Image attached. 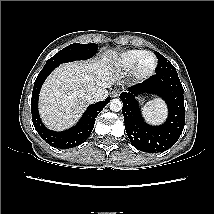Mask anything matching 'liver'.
Here are the masks:
<instances>
[{
	"label": "liver",
	"mask_w": 214,
	"mask_h": 214,
	"mask_svg": "<svg viewBox=\"0 0 214 214\" xmlns=\"http://www.w3.org/2000/svg\"><path fill=\"white\" fill-rule=\"evenodd\" d=\"M109 56L101 60L66 63L56 68L42 86L39 111L44 123L63 130L78 121L90 103L86 91L94 86L109 88L117 80Z\"/></svg>",
	"instance_id": "1"
}]
</instances>
